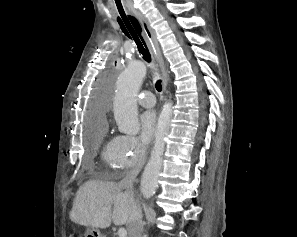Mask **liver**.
<instances>
[{
  "instance_id": "1",
  "label": "liver",
  "mask_w": 297,
  "mask_h": 237,
  "mask_svg": "<svg viewBox=\"0 0 297 237\" xmlns=\"http://www.w3.org/2000/svg\"><path fill=\"white\" fill-rule=\"evenodd\" d=\"M74 223L93 228L106 229L127 224L129 201L118 184L91 180L84 183L76 193L69 214Z\"/></svg>"
}]
</instances>
